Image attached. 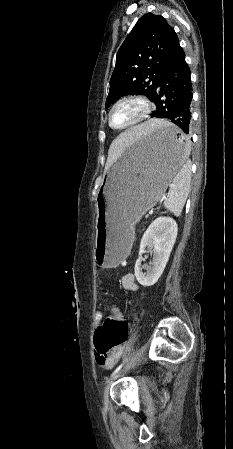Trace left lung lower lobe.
I'll return each mask as SVG.
<instances>
[{
	"instance_id": "left-lung-lower-lobe-1",
	"label": "left lung lower lobe",
	"mask_w": 233,
	"mask_h": 449,
	"mask_svg": "<svg viewBox=\"0 0 233 449\" xmlns=\"http://www.w3.org/2000/svg\"><path fill=\"white\" fill-rule=\"evenodd\" d=\"M190 68L182 50L161 74L152 101L156 111L151 117L162 118L176 124L182 134L163 133L161 142L172 149H181L189 143L187 135L191 126L192 83Z\"/></svg>"
}]
</instances>
